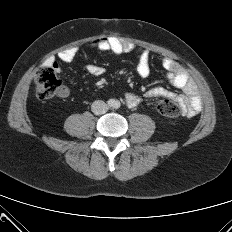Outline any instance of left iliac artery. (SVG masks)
<instances>
[{
    "instance_id": "left-iliac-artery-1",
    "label": "left iliac artery",
    "mask_w": 232,
    "mask_h": 232,
    "mask_svg": "<svg viewBox=\"0 0 232 232\" xmlns=\"http://www.w3.org/2000/svg\"><path fill=\"white\" fill-rule=\"evenodd\" d=\"M115 107H116V108H119V107H120V103H118V102L115 103Z\"/></svg>"
}]
</instances>
